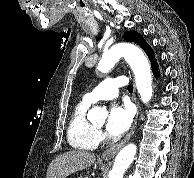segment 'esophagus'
<instances>
[{
    "mask_svg": "<svg viewBox=\"0 0 194 178\" xmlns=\"http://www.w3.org/2000/svg\"><path fill=\"white\" fill-rule=\"evenodd\" d=\"M134 99L136 101V98H134ZM137 108H138L137 116L135 118V121L133 123V126H132L130 132L126 135V137L123 140H121L119 143L113 145L111 148H109L108 150H106L102 154V157L104 159H110V158L114 157L119 152V150L128 142V140L132 137V135L134 134L136 126H137V120H138V114H139L138 103H137Z\"/></svg>",
    "mask_w": 194,
    "mask_h": 178,
    "instance_id": "34e87169",
    "label": "esophagus"
}]
</instances>
